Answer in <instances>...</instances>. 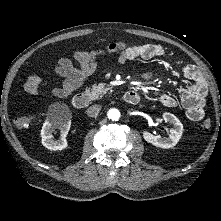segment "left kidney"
Listing matches in <instances>:
<instances>
[{
	"label": "left kidney",
	"mask_w": 221,
	"mask_h": 221,
	"mask_svg": "<svg viewBox=\"0 0 221 221\" xmlns=\"http://www.w3.org/2000/svg\"><path fill=\"white\" fill-rule=\"evenodd\" d=\"M163 119L166 122L173 124V128L170 130L168 138H162L161 136H154L151 133L145 131L143 132V138L152 145L160 148H170L175 146L183 133V125L180 120L173 114L165 112L163 114Z\"/></svg>",
	"instance_id": "obj_1"
}]
</instances>
